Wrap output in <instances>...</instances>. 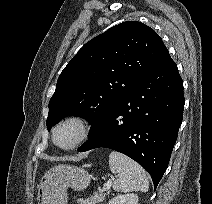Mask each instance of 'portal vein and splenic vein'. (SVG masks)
<instances>
[{
    "instance_id": "18ae733b",
    "label": "portal vein and splenic vein",
    "mask_w": 212,
    "mask_h": 204,
    "mask_svg": "<svg viewBox=\"0 0 212 204\" xmlns=\"http://www.w3.org/2000/svg\"><path fill=\"white\" fill-rule=\"evenodd\" d=\"M113 180H114V178H111L106 183H104L102 192H104L110 188Z\"/></svg>"
}]
</instances>
